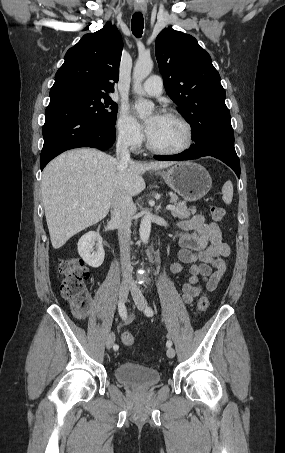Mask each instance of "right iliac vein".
I'll list each match as a JSON object with an SVG mask.
<instances>
[{"instance_id":"1","label":"right iliac vein","mask_w":285,"mask_h":453,"mask_svg":"<svg viewBox=\"0 0 285 453\" xmlns=\"http://www.w3.org/2000/svg\"><path fill=\"white\" fill-rule=\"evenodd\" d=\"M130 288H131V286L128 282H123L120 285L119 298L121 301H125L127 299ZM114 341H115V335L113 332H111L106 338V348L111 349L114 344Z\"/></svg>"}]
</instances>
